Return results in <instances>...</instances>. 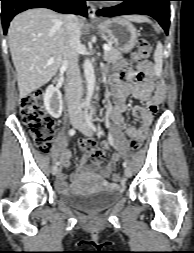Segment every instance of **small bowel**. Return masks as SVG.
Masks as SVG:
<instances>
[{"label":"small bowel","instance_id":"c3829d8e","mask_svg":"<svg viewBox=\"0 0 194 253\" xmlns=\"http://www.w3.org/2000/svg\"><path fill=\"white\" fill-rule=\"evenodd\" d=\"M137 61H143L140 71L131 69L127 63L116 66L110 73L112 83V100L114 107L111 112V120L120 129L124 130L130 137H138L141 140L148 135L153 116L157 106L160 105L165 97L164 83L153 77L151 71L154 69L152 60H148V56H137ZM132 96L138 100L145 102V106H137L133 109V115L141 120V125L135 127L126 125L123 120V114L127 111V98ZM113 145L112 136L108 140L101 142V150L106 151ZM72 152L64 149L61 153L62 166L68 167ZM89 154L86 153L80 160L78 173L94 171L100 177L106 178L116 168L117 162L120 160L118 153H113L105 167L94 164L91 166L87 163ZM56 186L60 191L69 190L67 177L63 173H58L56 177Z\"/></svg>","mask_w":194,"mask_h":253}]
</instances>
